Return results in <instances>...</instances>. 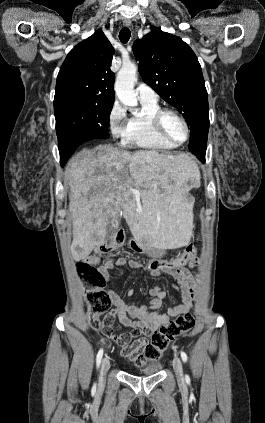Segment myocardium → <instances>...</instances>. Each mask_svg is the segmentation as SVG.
<instances>
[{
	"label": "myocardium",
	"mask_w": 265,
	"mask_h": 423,
	"mask_svg": "<svg viewBox=\"0 0 265 423\" xmlns=\"http://www.w3.org/2000/svg\"><path fill=\"white\" fill-rule=\"evenodd\" d=\"M167 115H173L175 116L177 119H179L181 121V123L183 124L184 128H185V138L182 141H175L173 138H171L165 128H164V118ZM152 123H153V127L155 129V131L157 132V134L164 139L165 141L179 146L182 145L184 143H186L190 137V126L187 122V120L184 118V116L182 114H180L177 110L172 109V108H161L159 109L152 117Z\"/></svg>",
	"instance_id": "myocardium-1"
}]
</instances>
